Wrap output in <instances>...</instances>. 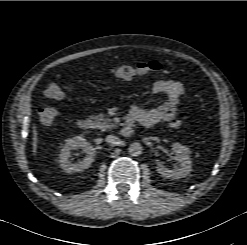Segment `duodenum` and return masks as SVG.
Listing matches in <instances>:
<instances>
[{
	"mask_svg": "<svg viewBox=\"0 0 247 245\" xmlns=\"http://www.w3.org/2000/svg\"><path fill=\"white\" fill-rule=\"evenodd\" d=\"M135 119L133 115L128 116L124 125L121 128V135L125 137H129L132 134L134 128ZM78 128L82 130H87L91 127V122L87 118H80L77 122Z\"/></svg>",
	"mask_w": 247,
	"mask_h": 245,
	"instance_id": "1",
	"label": "duodenum"
}]
</instances>
